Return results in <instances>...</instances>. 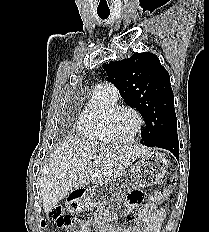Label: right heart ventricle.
<instances>
[{
    "mask_svg": "<svg viewBox=\"0 0 209 232\" xmlns=\"http://www.w3.org/2000/svg\"><path fill=\"white\" fill-rule=\"evenodd\" d=\"M116 105L102 90L95 89L85 108L78 115L76 128L78 135L92 144H106L103 128L104 115L108 109Z\"/></svg>",
    "mask_w": 209,
    "mask_h": 232,
    "instance_id": "obj_1",
    "label": "right heart ventricle"
}]
</instances>
